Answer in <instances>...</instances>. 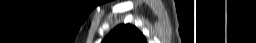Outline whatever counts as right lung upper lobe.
I'll return each instance as SVG.
<instances>
[{"mask_svg":"<svg viewBox=\"0 0 256 43\" xmlns=\"http://www.w3.org/2000/svg\"><path fill=\"white\" fill-rule=\"evenodd\" d=\"M102 43H147V41L135 26L121 24L112 30Z\"/></svg>","mask_w":256,"mask_h":43,"instance_id":"right-lung-upper-lobe-1","label":"right lung upper lobe"}]
</instances>
